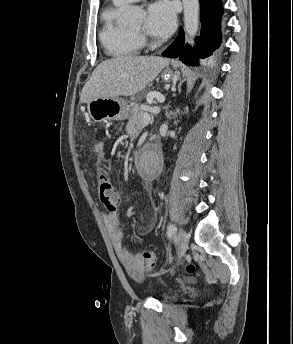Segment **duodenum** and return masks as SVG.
<instances>
[{
	"mask_svg": "<svg viewBox=\"0 0 293 344\" xmlns=\"http://www.w3.org/2000/svg\"><path fill=\"white\" fill-rule=\"evenodd\" d=\"M139 156H140L139 153L135 155V160H136V161H138ZM160 166H161V162L159 161V162H158V167H160Z\"/></svg>",
	"mask_w": 293,
	"mask_h": 344,
	"instance_id": "410a0bca",
	"label": "duodenum"
}]
</instances>
